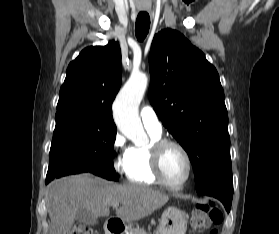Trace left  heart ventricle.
<instances>
[{"instance_id":"obj_1","label":"left heart ventricle","mask_w":279,"mask_h":234,"mask_svg":"<svg viewBox=\"0 0 279 234\" xmlns=\"http://www.w3.org/2000/svg\"><path fill=\"white\" fill-rule=\"evenodd\" d=\"M162 168L165 178L172 184H179L187 173L183 154L175 147H168L163 155Z\"/></svg>"}]
</instances>
